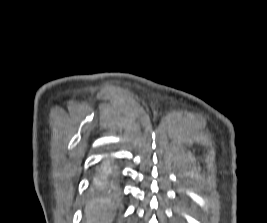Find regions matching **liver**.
I'll return each mask as SVG.
<instances>
[{
	"label": "liver",
	"instance_id": "1",
	"mask_svg": "<svg viewBox=\"0 0 267 223\" xmlns=\"http://www.w3.org/2000/svg\"><path fill=\"white\" fill-rule=\"evenodd\" d=\"M112 208L113 203L109 199H93L85 210L87 223H111L114 216Z\"/></svg>",
	"mask_w": 267,
	"mask_h": 223
}]
</instances>
